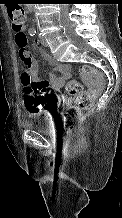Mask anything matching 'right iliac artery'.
<instances>
[{"label":"right iliac artery","mask_w":122,"mask_h":218,"mask_svg":"<svg viewBox=\"0 0 122 218\" xmlns=\"http://www.w3.org/2000/svg\"><path fill=\"white\" fill-rule=\"evenodd\" d=\"M29 34H30L31 36H34V35L36 34V30H35V29H30V30H29Z\"/></svg>","instance_id":"obj_1"}]
</instances>
